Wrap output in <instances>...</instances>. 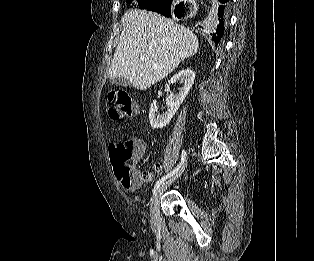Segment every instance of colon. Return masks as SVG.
<instances>
[{"label": "colon", "instance_id": "obj_1", "mask_svg": "<svg viewBox=\"0 0 314 261\" xmlns=\"http://www.w3.org/2000/svg\"><path fill=\"white\" fill-rule=\"evenodd\" d=\"M109 116L113 121L132 117L137 111L136 102L124 89H112L108 93ZM141 152L135 138H127L110 147L115 176L127 189L136 188L143 182V175L134 168V158Z\"/></svg>", "mask_w": 314, "mask_h": 261}]
</instances>
